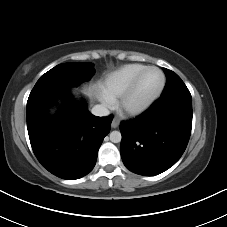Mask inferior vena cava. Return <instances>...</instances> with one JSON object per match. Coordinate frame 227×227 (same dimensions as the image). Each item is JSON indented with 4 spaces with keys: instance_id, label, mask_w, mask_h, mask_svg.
I'll return each mask as SVG.
<instances>
[{
    "instance_id": "inferior-vena-cava-1",
    "label": "inferior vena cava",
    "mask_w": 227,
    "mask_h": 227,
    "mask_svg": "<svg viewBox=\"0 0 227 227\" xmlns=\"http://www.w3.org/2000/svg\"><path fill=\"white\" fill-rule=\"evenodd\" d=\"M91 113L95 116H99V117H103V116H108L110 114V111L107 109V107L105 105H95L92 110Z\"/></svg>"
}]
</instances>
